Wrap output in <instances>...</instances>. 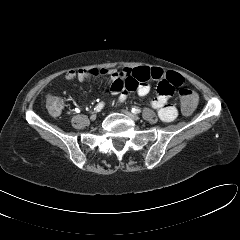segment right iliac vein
<instances>
[{
    "instance_id": "right-iliac-vein-1",
    "label": "right iliac vein",
    "mask_w": 240,
    "mask_h": 240,
    "mask_svg": "<svg viewBox=\"0 0 240 240\" xmlns=\"http://www.w3.org/2000/svg\"><path fill=\"white\" fill-rule=\"evenodd\" d=\"M96 117H97V115H96V114H92V115L90 116V119H91V120H95V119H96Z\"/></svg>"
}]
</instances>
